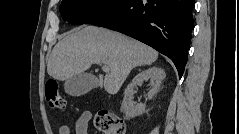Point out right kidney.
I'll use <instances>...</instances> for the list:
<instances>
[{
    "mask_svg": "<svg viewBox=\"0 0 239 134\" xmlns=\"http://www.w3.org/2000/svg\"><path fill=\"white\" fill-rule=\"evenodd\" d=\"M166 77L165 71L158 67H151L138 73L124 91L122 108L126 119L139 116L145 112V104L134 105L129 101L134 94V87L141 85L145 80H150L151 89L148 92V98L151 99L160 89L162 80Z\"/></svg>",
    "mask_w": 239,
    "mask_h": 134,
    "instance_id": "obj_1",
    "label": "right kidney"
}]
</instances>
